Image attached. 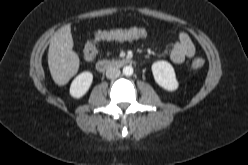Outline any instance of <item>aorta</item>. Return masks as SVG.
Instances as JSON below:
<instances>
[{
  "mask_svg": "<svg viewBox=\"0 0 248 165\" xmlns=\"http://www.w3.org/2000/svg\"><path fill=\"white\" fill-rule=\"evenodd\" d=\"M123 74L125 75V76H131L132 74H133V67L132 66H125L124 68H123Z\"/></svg>",
  "mask_w": 248,
  "mask_h": 165,
  "instance_id": "1",
  "label": "aorta"
}]
</instances>
